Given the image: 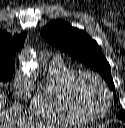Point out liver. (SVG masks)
<instances>
[{"instance_id": "6515ba94", "label": "liver", "mask_w": 125, "mask_h": 128, "mask_svg": "<svg viewBox=\"0 0 125 128\" xmlns=\"http://www.w3.org/2000/svg\"><path fill=\"white\" fill-rule=\"evenodd\" d=\"M5 105V97L3 93L0 91V128H7V125H11V117H9L8 113L3 110V107ZM39 128H50L49 125H41L38 124Z\"/></svg>"}]
</instances>
